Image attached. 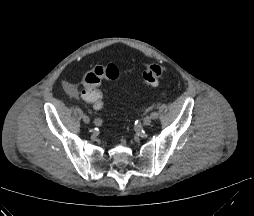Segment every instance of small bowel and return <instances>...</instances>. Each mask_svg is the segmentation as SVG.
<instances>
[{
    "label": "small bowel",
    "mask_w": 254,
    "mask_h": 216,
    "mask_svg": "<svg viewBox=\"0 0 254 216\" xmlns=\"http://www.w3.org/2000/svg\"><path fill=\"white\" fill-rule=\"evenodd\" d=\"M63 88H64L65 92L72 98H77L80 95L78 88L75 85H73L72 83L63 82ZM94 107L96 110H99L103 107V104H98V105L94 104Z\"/></svg>",
    "instance_id": "c3829d8e"
}]
</instances>
